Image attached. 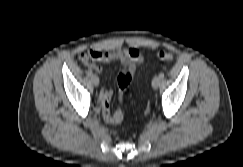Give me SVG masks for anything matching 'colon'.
<instances>
[{"label": "colon", "mask_w": 243, "mask_h": 167, "mask_svg": "<svg viewBox=\"0 0 243 167\" xmlns=\"http://www.w3.org/2000/svg\"><path fill=\"white\" fill-rule=\"evenodd\" d=\"M161 61L170 62L173 60V54L168 51H159L156 54ZM133 80V73L129 70L122 71L118 76V87L123 92Z\"/></svg>", "instance_id": "colon-1"}]
</instances>
